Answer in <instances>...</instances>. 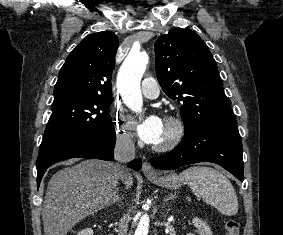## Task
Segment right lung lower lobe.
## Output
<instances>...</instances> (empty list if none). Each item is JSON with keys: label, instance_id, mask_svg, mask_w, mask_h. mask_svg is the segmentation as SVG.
<instances>
[{"label": "right lung lower lobe", "instance_id": "1", "mask_svg": "<svg viewBox=\"0 0 283 235\" xmlns=\"http://www.w3.org/2000/svg\"><path fill=\"white\" fill-rule=\"evenodd\" d=\"M115 142L116 133L113 129L94 137L72 139L39 155L37 159V185H40L47 168L60 160L75 157L110 160L113 158ZM129 166L139 170L141 168V159L134 160Z\"/></svg>", "mask_w": 283, "mask_h": 235}]
</instances>
